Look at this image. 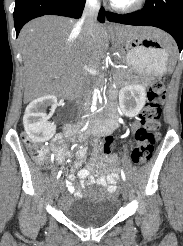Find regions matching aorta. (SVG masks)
Returning a JSON list of instances; mask_svg holds the SVG:
<instances>
[{"mask_svg":"<svg viewBox=\"0 0 183 246\" xmlns=\"http://www.w3.org/2000/svg\"><path fill=\"white\" fill-rule=\"evenodd\" d=\"M97 93H98V89H95L94 93H93V100H92V107H91V109H93V110L96 109Z\"/></svg>","mask_w":183,"mask_h":246,"instance_id":"762f6f07","label":"aorta"}]
</instances>
